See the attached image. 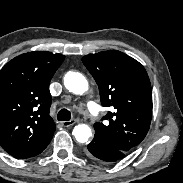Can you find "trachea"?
<instances>
[{
	"instance_id": "3493384b",
	"label": "trachea",
	"mask_w": 183,
	"mask_h": 183,
	"mask_svg": "<svg viewBox=\"0 0 183 183\" xmlns=\"http://www.w3.org/2000/svg\"><path fill=\"white\" fill-rule=\"evenodd\" d=\"M57 119L59 121H69L71 119V113L67 109H61L58 112Z\"/></svg>"
}]
</instances>
